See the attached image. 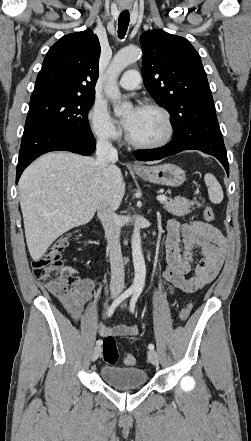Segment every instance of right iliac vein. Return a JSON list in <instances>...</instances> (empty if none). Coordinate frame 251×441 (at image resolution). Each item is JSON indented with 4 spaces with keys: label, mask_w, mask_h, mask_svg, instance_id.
<instances>
[{
    "label": "right iliac vein",
    "mask_w": 251,
    "mask_h": 441,
    "mask_svg": "<svg viewBox=\"0 0 251 441\" xmlns=\"http://www.w3.org/2000/svg\"><path fill=\"white\" fill-rule=\"evenodd\" d=\"M115 297H116V294L113 295V298H115ZM101 351H102L101 346H96L94 348V350L92 352V361H96L99 358Z\"/></svg>",
    "instance_id": "right-iliac-vein-1"
}]
</instances>
